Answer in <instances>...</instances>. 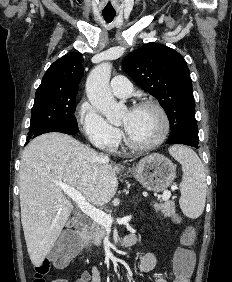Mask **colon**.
<instances>
[{
  "mask_svg": "<svg viewBox=\"0 0 232 282\" xmlns=\"http://www.w3.org/2000/svg\"><path fill=\"white\" fill-rule=\"evenodd\" d=\"M193 232L190 228L183 231L181 236L182 247L178 248L174 257L173 282H190L193 266V255L188 248L193 242ZM80 242L71 232H64L48 257L35 267L32 282H46V277L53 268H63L78 253Z\"/></svg>",
  "mask_w": 232,
  "mask_h": 282,
  "instance_id": "5ec220e1",
  "label": "colon"
}]
</instances>
